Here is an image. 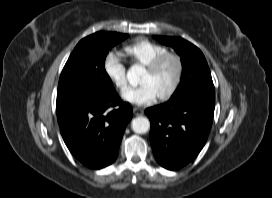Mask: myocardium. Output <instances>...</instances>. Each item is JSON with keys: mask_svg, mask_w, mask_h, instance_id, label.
<instances>
[{"mask_svg": "<svg viewBox=\"0 0 272 198\" xmlns=\"http://www.w3.org/2000/svg\"><path fill=\"white\" fill-rule=\"evenodd\" d=\"M168 60H173L175 62L176 75H175L174 81L171 84V86L165 92H163L162 94H160L158 96V98L160 100H167V99L171 98L178 90V88L181 84L182 78H183V71H184L182 59L179 55H177L175 53L166 52V53H163V54L157 56L148 65H146V69L149 72L155 73Z\"/></svg>", "mask_w": 272, "mask_h": 198, "instance_id": "f54148a6", "label": "myocardium"}]
</instances>
